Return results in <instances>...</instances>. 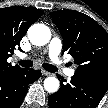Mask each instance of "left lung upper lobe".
<instances>
[{
    "mask_svg": "<svg viewBox=\"0 0 108 108\" xmlns=\"http://www.w3.org/2000/svg\"><path fill=\"white\" fill-rule=\"evenodd\" d=\"M50 15L63 37V53L71 54L78 65L75 74L108 75V34L102 26L75 10Z\"/></svg>",
    "mask_w": 108,
    "mask_h": 108,
    "instance_id": "5c2ea615",
    "label": "left lung upper lobe"
}]
</instances>
